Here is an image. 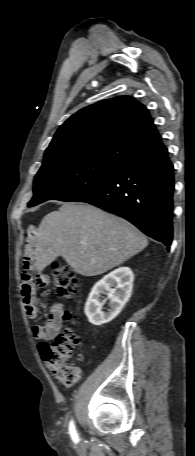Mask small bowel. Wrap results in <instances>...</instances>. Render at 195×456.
Masks as SVG:
<instances>
[{
	"label": "small bowel",
	"mask_w": 195,
	"mask_h": 456,
	"mask_svg": "<svg viewBox=\"0 0 195 456\" xmlns=\"http://www.w3.org/2000/svg\"><path fill=\"white\" fill-rule=\"evenodd\" d=\"M36 241V232L33 226H30L27 232L23 256V284L21 287V297L25 312L28 318L35 319L38 315V308L35 303V284L32 278L34 268V244ZM38 286L44 288L49 284V278L46 275L37 276ZM62 326L61 310L59 305L52 307L48 321L44 325H36L31 329L32 336L41 341H48L58 335Z\"/></svg>",
	"instance_id": "small-bowel-1"
}]
</instances>
